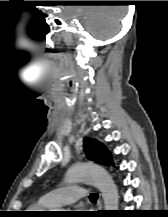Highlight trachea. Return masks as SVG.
I'll return each mask as SVG.
<instances>
[{
	"mask_svg": "<svg viewBox=\"0 0 168 217\" xmlns=\"http://www.w3.org/2000/svg\"><path fill=\"white\" fill-rule=\"evenodd\" d=\"M89 198H90L91 201L95 202L97 200V198H98V194L92 193V194H90Z\"/></svg>",
	"mask_w": 168,
	"mask_h": 217,
	"instance_id": "3493384b",
	"label": "trachea"
}]
</instances>
